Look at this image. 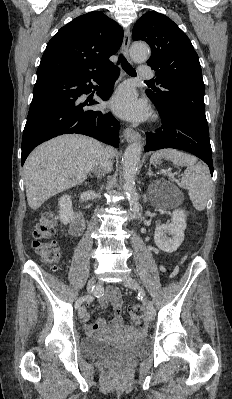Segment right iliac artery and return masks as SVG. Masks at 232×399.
I'll use <instances>...</instances> for the list:
<instances>
[{"mask_svg":"<svg viewBox=\"0 0 232 399\" xmlns=\"http://www.w3.org/2000/svg\"><path fill=\"white\" fill-rule=\"evenodd\" d=\"M85 300H89V301L93 300V295L85 294V295H82L81 297H79V299L75 303V308L79 309V307L81 306V303Z\"/></svg>","mask_w":232,"mask_h":399,"instance_id":"1","label":"right iliac artery"}]
</instances>
